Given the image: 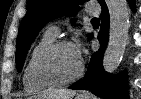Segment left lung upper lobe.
I'll list each match as a JSON object with an SVG mask.
<instances>
[{"label": "left lung upper lobe", "mask_w": 141, "mask_h": 99, "mask_svg": "<svg viewBox=\"0 0 141 99\" xmlns=\"http://www.w3.org/2000/svg\"><path fill=\"white\" fill-rule=\"evenodd\" d=\"M85 0H29L27 14L20 25L17 38L16 63L20 72L23 67L27 51L41 28L51 19L64 14H76L77 4ZM105 5L104 0H98ZM90 36V35H89Z\"/></svg>", "instance_id": "5c2ea615"}]
</instances>
